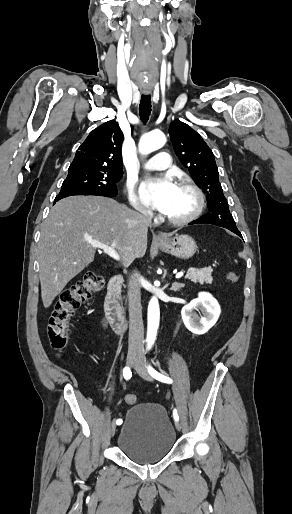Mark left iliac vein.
I'll use <instances>...</instances> for the list:
<instances>
[{
	"mask_svg": "<svg viewBox=\"0 0 292 514\" xmlns=\"http://www.w3.org/2000/svg\"><path fill=\"white\" fill-rule=\"evenodd\" d=\"M135 370L143 379L147 381H152V378L149 375L147 367L142 359H139L138 363L135 365ZM175 427L178 431H181L182 429V426L179 421L175 422Z\"/></svg>",
	"mask_w": 292,
	"mask_h": 514,
	"instance_id": "1",
	"label": "left iliac vein"
}]
</instances>
